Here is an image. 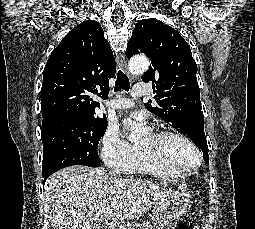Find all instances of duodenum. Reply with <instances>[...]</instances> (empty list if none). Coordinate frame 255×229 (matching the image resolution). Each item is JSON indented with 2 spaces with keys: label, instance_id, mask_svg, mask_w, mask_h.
<instances>
[{
  "label": "duodenum",
  "instance_id": "1",
  "mask_svg": "<svg viewBox=\"0 0 255 229\" xmlns=\"http://www.w3.org/2000/svg\"><path fill=\"white\" fill-rule=\"evenodd\" d=\"M107 229H125V228L120 223H112V224L108 225Z\"/></svg>",
  "mask_w": 255,
  "mask_h": 229
}]
</instances>
